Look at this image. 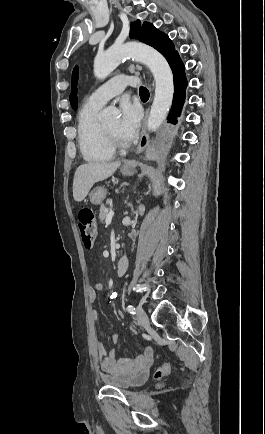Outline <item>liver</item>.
I'll return each mask as SVG.
<instances>
[{
  "label": "liver",
  "mask_w": 265,
  "mask_h": 434,
  "mask_svg": "<svg viewBox=\"0 0 265 434\" xmlns=\"http://www.w3.org/2000/svg\"><path fill=\"white\" fill-rule=\"evenodd\" d=\"M119 166H121V162H109V164H92L90 162V164L79 166L73 180L74 200L82 202L96 182L110 178Z\"/></svg>",
  "instance_id": "liver-1"
}]
</instances>
